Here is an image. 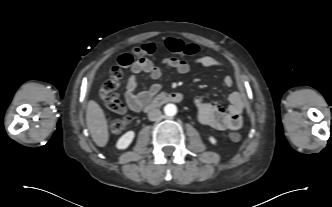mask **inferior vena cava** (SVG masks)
Returning a JSON list of instances; mask_svg holds the SVG:
<instances>
[{"mask_svg": "<svg viewBox=\"0 0 332 207\" xmlns=\"http://www.w3.org/2000/svg\"><path fill=\"white\" fill-rule=\"evenodd\" d=\"M150 121H158L162 118V113L159 109H153L148 113Z\"/></svg>", "mask_w": 332, "mask_h": 207, "instance_id": "obj_1", "label": "inferior vena cava"}]
</instances>
